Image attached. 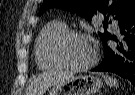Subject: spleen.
<instances>
[{
  "label": "spleen",
  "instance_id": "1",
  "mask_svg": "<svg viewBox=\"0 0 135 95\" xmlns=\"http://www.w3.org/2000/svg\"><path fill=\"white\" fill-rule=\"evenodd\" d=\"M107 85L110 87H118V81L115 78H112L108 75H102Z\"/></svg>",
  "mask_w": 135,
  "mask_h": 95
}]
</instances>
